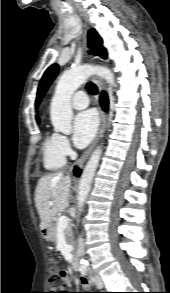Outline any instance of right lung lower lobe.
<instances>
[{
	"instance_id": "98d812e1",
	"label": "right lung lower lobe",
	"mask_w": 170,
	"mask_h": 293,
	"mask_svg": "<svg viewBox=\"0 0 170 293\" xmlns=\"http://www.w3.org/2000/svg\"><path fill=\"white\" fill-rule=\"evenodd\" d=\"M101 106L103 107L104 110H107V107H108V98H107V95L105 93H102L101 94ZM81 173V170L78 169V168H75L74 169V174L75 176H79Z\"/></svg>"
}]
</instances>
